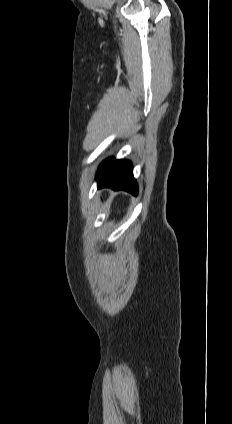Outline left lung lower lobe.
Masks as SVG:
<instances>
[{"mask_svg": "<svg viewBox=\"0 0 232 424\" xmlns=\"http://www.w3.org/2000/svg\"><path fill=\"white\" fill-rule=\"evenodd\" d=\"M98 188L111 187L137 195L138 187L132 174V164L127 160L106 159L97 171Z\"/></svg>", "mask_w": 232, "mask_h": 424, "instance_id": "obj_1", "label": "left lung lower lobe"}]
</instances>
